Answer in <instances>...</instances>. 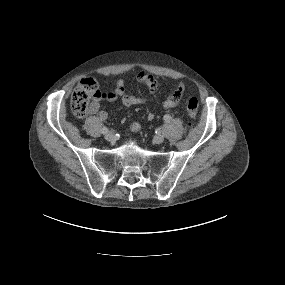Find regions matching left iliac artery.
<instances>
[{"label": "left iliac artery", "instance_id": "44dca946", "mask_svg": "<svg viewBox=\"0 0 285 285\" xmlns=\"http://www.w3.org/2000/svg\"><path fill=\"white\" fill-rule=\"evenodd\" d=\"M170 119H171V116L169 114L164 115V120L166 122L170 121ZM158 133H160V130H158Z\"/></svg>", "mask_w": 285, "mask_h": 285}]
</instances>
